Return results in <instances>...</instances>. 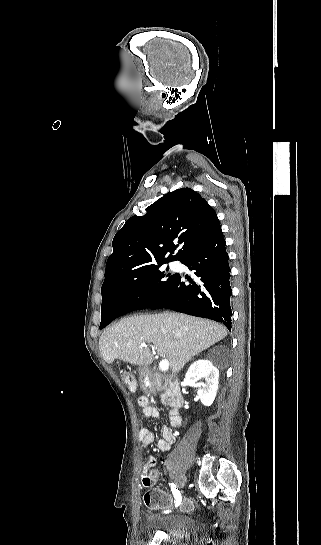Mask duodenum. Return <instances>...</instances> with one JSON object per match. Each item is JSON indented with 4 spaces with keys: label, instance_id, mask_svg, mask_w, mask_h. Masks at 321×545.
<instances>
[{
    "label": "duodenum",
    "instance_id": "duodenum-1",
    "mask_svg": "<svg viewBox=\"0 0 321 545\" xmlns=\"http://www.w3.org/2000/svg\"><path fill=\"white\" fill-rule=\"evenodd\" d=\"M149 382L157 389L164 391V401L170 406V419L173 427L180 425V409L183 405V397L170 379L161 378L152 372H147Z\"/></svg>",
    "mask_w": 321,
    "mask_h": 545
}]
</instances>
